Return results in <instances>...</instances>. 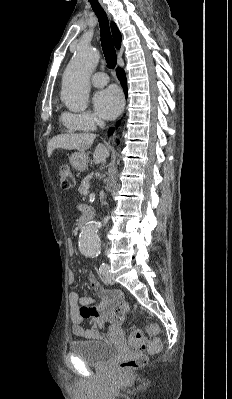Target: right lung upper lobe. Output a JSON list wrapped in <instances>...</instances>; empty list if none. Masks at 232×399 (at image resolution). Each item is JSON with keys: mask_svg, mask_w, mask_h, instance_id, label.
<instances>
[{"mask_svg": "<svg viewBox=\"0 0 232 399\" xmlns=\"http://www.w3.org/2000/svg\"><path fill=\"white\" fill-rule=\"evenodd\" d=\"M111 29H112V34H113V38H114V43L116 48H120L121 46V33L119 32L117 26L115 23H111Z\"/></svg>", "mask_w": 232, "mask_h": 399, "instance_id": "right-lung-upper-lobe-1", "label": "right lung upper lobe"}]
</instances>
